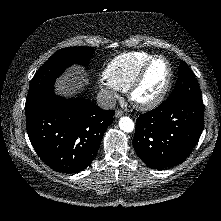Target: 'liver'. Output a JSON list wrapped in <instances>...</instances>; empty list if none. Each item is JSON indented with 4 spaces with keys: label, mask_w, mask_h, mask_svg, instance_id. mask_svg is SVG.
<instances>
[{
    "label": "liver",
    "mask_w": 221,
    "mask_h": 221,
    "mask_svg": "<svg viewBox=\"0 0 221 221\" xmlns=\"http://www.w3.org/2000/svg\"><path fill=\"white\" fill-rule=\"evenodd\" d=\"M82 74V75H79ZM88 82V74L78 71V67L68 70L65 75L58 79L56 89L59 94L68 96L76 89H81Z\"/></svg>",
    "instance_id": "6515ba94"
}]
</instances>
